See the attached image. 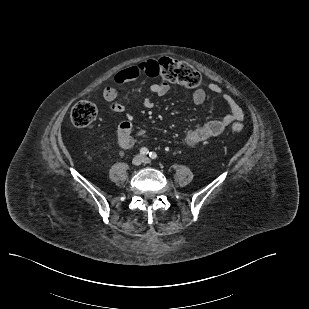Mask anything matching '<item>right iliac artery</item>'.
<instances>
[{
	"mask_svg": "<svg viewBox=\"0 0 309 309\" xmlns=\"http://www.w3.org/2000/svg\"><path fill=\"white\" fill-rule=\"evenodd\" d=\"M149 153L148 149L146 147H143L140 149V154L141 155H147Z\"/></svg>",
	"mask_w": 309,
	"mask_h": 309,
	"instance_id": "1",
	"label": "right iliac artery"
}]
</instances>
